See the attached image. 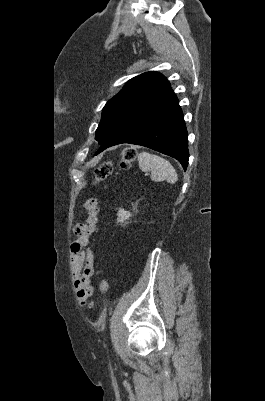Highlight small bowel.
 <instances>
[{"label": "small bowel", "instance_id": "1", "mask_svg": "<svg viewBox=\"0 0 265 401\" xmlns=\"http://www.w3.org/2000/svg\"><path fill=\"white\" fill-rule=\"evenodd\" d=\"M86 220L78 223L74 227L76 240L71 244L72 270L74 286L79 302L83 305L92 306L88 302L94 296L95 289L91 284V278L94 275V257L89 249H85L90 243L91 235L98 222L99 206L95 198H88L84 202Z\"/></svg>", "mask_w": 265, "mask_h": 401}]
</instances>
